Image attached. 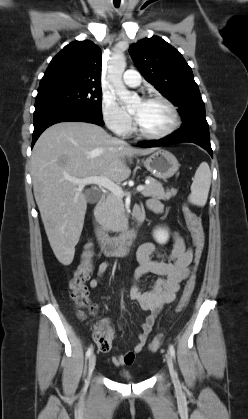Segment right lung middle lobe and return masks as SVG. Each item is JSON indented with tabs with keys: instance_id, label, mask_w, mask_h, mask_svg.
I'll return each instance as SVG.
<instances>
[{
	"instance_id": "1",
	"label": "right lung middle lobe",
	"mask_w": 248,
	"mask_h": 419,
	"mask_svg": "<svg viewBox=\"0 0 248 419\" xmlns=\"http://www.w3.org/2000/svg\"><path fill=\"white\" fill-rule=\"evenodd\" d=\"M101 101V88L54 87L38 90L35 109L54 105H74L102 116Z\"/></svg>"
}]
</instances>
